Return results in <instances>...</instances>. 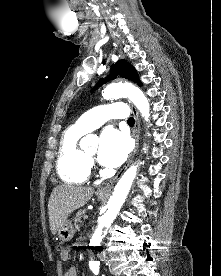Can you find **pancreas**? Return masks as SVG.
<instances>
[{"instance_id":"cf45deb5","label":"pancreas","mask_w":221,"mask_h":276,"mask_svg":"<svg viewBox=\"0 0 221 276\" xmlns=\"http://www.w3.org/2000/svg\"><path fill=\"white\" fill-rule=\"evenodd\" d=\"M85 213V210H80L77 212L76 217L74 219V225L77 230H79V224L81 223V217Z\"/></svg>"}]
</instances>
